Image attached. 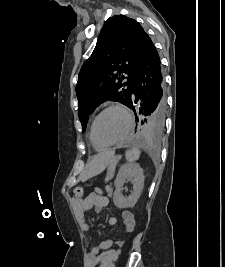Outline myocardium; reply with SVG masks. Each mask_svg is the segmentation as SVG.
<instances>
[{"mask_svg": "<svg viewBox=\"0 0 225 267\" xmlns=\"http://www.w3.org/2000/svg\"><path fill=\"white\" fill-rule=\"evenodd\" d=\"M110 110H119L125 114V116L127 118V128H126L124 134L119 139L112 141V142H109V143H100L96 137V125H97V122L100 119V117L104 113H106ZM132 127H133V117H132L130 110L121 104H111V105H108L105 108H103L93 119V122L91 125V138H92V141L96 145H99V146L105 147V148L111 147V146L118 145V144L122 143L123 141H125L127 139V137L129 136V134L132 130Z\"/></svg>", "mask_w": 225, "mask_h": 267, "instance_id": "f54148a6", "label": "myocardium"}]
</instances>
